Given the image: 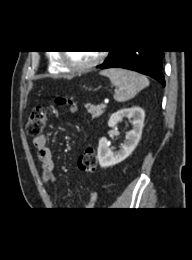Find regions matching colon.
Returning a JSON list of instances; mask_svg holds the SVG:
<instances>
[{
  "mask_svg": "<svg viewBox=\"0 0 192 260\" xmlns=\"http://www.w3.org/2000/svg\"><path fill=\"white\" fill-rule=\"evenodd\" d=\"M56 102L60 106L70 104L65 98H57ZM47 117L43 108L38 107L34 109L28 117L26 130L29 136L33 139H38L46 126ZM96 154L91 148H87L78 159V168L84 173H93L96 169Z\"/></svg>",
  "mask_w": 192,
  "mask_h": 260,
  "instance_id": "obj_1",
  "label": "colon"
}]
</instances>
